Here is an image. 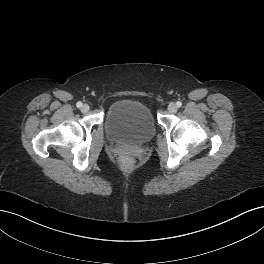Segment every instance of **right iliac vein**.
Wrapping results in <instances>:
<instances>
[{
    "label": "right iliac vein",
    "mask_w": 264,
    "mask_h": 264,
    "mask_svg": "<svg viewBox=\"0 0 264 264\" xmlns=\"http://www.w3.org/2000/svg\"><path fill=\"white\" fill-rule=\"evenodd\" d=\"M81 111H82L83 113L88 112V111H89V105L84 104V105L82 106V108H81Z\"/></svg>",
    "instance_id": "obj_1"
}]
</instances>
